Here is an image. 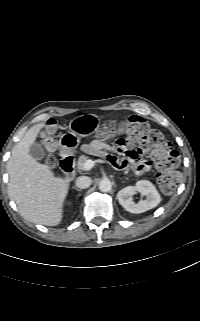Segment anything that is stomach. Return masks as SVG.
Here are the masks:
<instances>
[{
    "label": "stomach",
    "instance_id": "1",
    "mask_svg": "<svg viewBox=\"0 0 200 321\" xmlns=\"http://www.w3.org/2000/svg\"><path fill=\"white\" fill-rule=\"evenodd\" d=\"M99 119L94 115H80L74 118L70 124V132L64 134L60 139L61 147L68 151H74L79 143L81 137L87 136L99 126ZM114 123V120H111Z\"/></svg>",
    "mask_w": 200,
    "mask_h": 321
}]
</instances>
